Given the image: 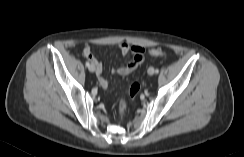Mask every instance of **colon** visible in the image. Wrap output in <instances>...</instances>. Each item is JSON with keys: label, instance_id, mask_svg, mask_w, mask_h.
<instances>
[{"label": "colon", "instance_id": "obj_1", "mask_svg": "<svg viewBox=\"0 0 244 157\" xmlns=\"http://www.w3.org/2000/svg\"><path fill=\"white\" fill-rule=\"evenodd\" d=\"M149 53H150V55L155 56V57L165 55V52L161 48H153L149 51ZM138 59L143 61L144 60L143 54H141L138 57ZM139 91H140L139 83H133L129 89V95H130L131 99H134L138 95ZM125 109H126V103L123 101L120 104V113L124 114Z\"/></svg>", "mask_w": 244, "mask_h": 157}]
</instances>
